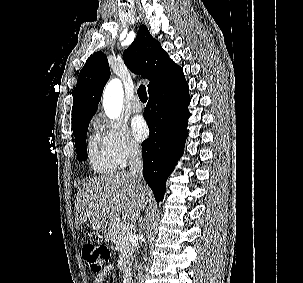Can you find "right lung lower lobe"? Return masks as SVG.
I'll list each match as a JSON object with an SVG mask.
<instances>
[{
	"mask_svg": "<svg viewBox=\"0 0 303 283\" xmlns=\"http://www.w3.org/2000/svg\"><path fill=\"white\" fill-rule=\"evenodd\" d=\"M189 103L188 84L183 74L149 94L145 118L150 132L142 143L143 176L157 202L163 199L166 180L182 155Z\"/></svg>",
	"mask_w": 303,
	"mask_h": 283,
	"instance_id": "1",
	"label": "right lung lower lobe"
}]
</instances>
